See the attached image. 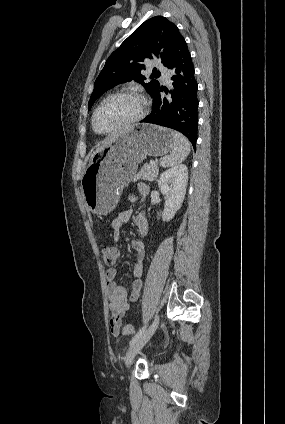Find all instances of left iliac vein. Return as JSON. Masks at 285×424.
<instances>
[{
  "mask_svg": "<svg viewBox=\"0 0 285 424\" xmlns=\"http://www.w3.org/2000/svg\"><path fill=\"white\" fill-rule=\"evenodd\" d=\"M159 324V316L157 315L153 321V323L149 326V328L142 334V336L137 339V341L130 346L127 354L125 356V364L129 367L132 363V360L136 356V354L142 349V347L148 342V340L152 337L155 330L157 329Z\"/></svg>",
  "mask_w": 285,
  "mask_h": 424,
  "instance_id": "left-iliac-vein-1",
  "label": "left iliac vein"
}]
</instances>
